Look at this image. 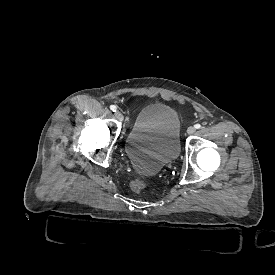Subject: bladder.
I'll use <instances>...</instances> for the list:
<instances>
[{
  "label": "bladder",
  "instance_id": "bladder-1",
  "mask_svg": "<svg viewBox=\"0 0 275 275\" xmlns=\"http://www.w3.org/2000/svg\"><path fill=\"white\" fill-rule=\"evenodd\" d=\"M181 117L171 105L145 104L138 112L127 142L131 163L144 174H154L180 154Z\"/></svg>",
  "mask_w": 275,
  "mask_h": 275
}]
</instances>
